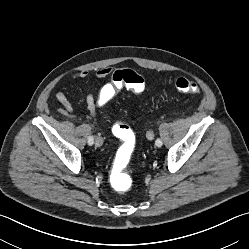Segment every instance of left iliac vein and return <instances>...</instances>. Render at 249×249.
I'll list each match as a JSON object with an SVG mask.
<instances>
[{"mask_svg":"<svg viewBox=\"0 0 249 249\" xmlns=\"http://www.w3.org/2000/svg\"><path fill=\"white\" fill-rule=\"evenodd\" d=\"M147 138H148L149 140H152V139L154 138V133H153L152 131H148V132H147Z\"/></svg>","mask_w":249,"mask_h":249,"instance_id":"1","label":"left iliac vein"}]
</instances>
